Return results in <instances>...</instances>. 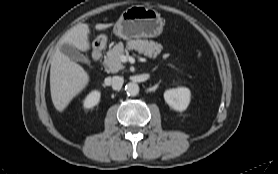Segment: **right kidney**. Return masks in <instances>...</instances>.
Here are the masks:
<instances>
[{
    "label": "right kidney",
    "instance_id": "ca27d5eb",
    "mask_svg": "<svg viewBox=\"0 0 278 174\" xmlns=\"http://www.w3.org/2000/svg\"><path fill=\"white\" fill-rule=\"evenodd\" d=\"M100 100V92L99 91H92L87 97L85 98L83 105L84 108L90 109L96 106Z\"/></svg>",
    "mask_w": 278,
    "mask_h": 174
}]
</instances>
